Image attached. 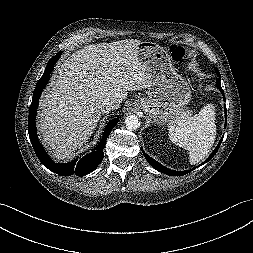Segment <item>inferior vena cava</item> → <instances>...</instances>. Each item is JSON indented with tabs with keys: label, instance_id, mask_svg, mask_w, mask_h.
<instances>
[{
	"label": "inferior vena cava",
	"instance_id": "obj_1",
	"mask_svg": "<svg viewBox=\"0 0 253 253\" xmlns=\"http://www.w3.org/2000/svg\"><path fill=\"white\" fill-rule=\"evenodd\" d=\"M120 107V102L113 99H106L101 103L102 112H110L111 110L118 109Z\"/></svg>",
	"mask_w": 253,
	"mask_h": 253
}]
</instances>
